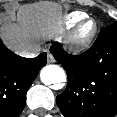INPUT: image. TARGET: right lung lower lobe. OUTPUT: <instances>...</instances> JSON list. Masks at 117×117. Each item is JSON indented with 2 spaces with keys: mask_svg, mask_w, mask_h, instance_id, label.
I'll return each mask as SVG.
<instances>
[{
  "mask_svg": "<svg viewBox=\"0 0 117 117\" xmlns=\"http://www.w3.org/2000/svg\"><path fill=\"white\" fill-rule=\"evenodd\" d=\"M46 53L24 58L7 49L0 39V117H18L26 103V93L46 65Z\"/></svg>",
  "mask_w": 117,
  "mask_h": 117,
  "instance_id": "obj_1",
  "label": "right lung lower lobe"
}]
</instances>
